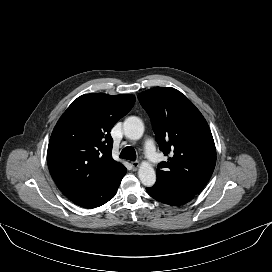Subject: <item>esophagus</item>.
Returning a JSON list of instances; mask_svg holds the SVG:
<instances>
[{
	"mask_svg": "<svg viewBox=\"0 0 272 272\" xmlns=\"http://www.w3.org/2000/svg\"><path fill=\"white\" fill-rule=\"evenodd\" d=\"M139 165H140L139 162H136V161L131 163L132 169L134 171H136L139 168Z\"/></svg>",
	"mask_w": 272,
	"mask_h": 272,
	"instance_id": "34e87169",
	"label": "esophagus"
}]
</instances>
